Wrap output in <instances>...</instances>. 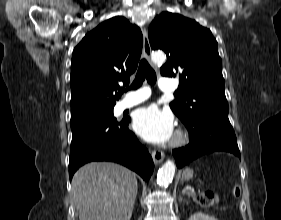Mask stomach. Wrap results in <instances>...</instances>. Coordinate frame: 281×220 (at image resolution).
I'll return each instance as SVG.
<instances>
[{"mask_svg":"<svg viewBox=\"0 0 281 220\" xmlns=\"http://www.w3.org/2000/svg\"><path fill=\"white\" fill-rule=\"evenodd\" d=\"M193 177V170L190 168H186L182 173V178L185 180H189Z\"/></svg>","mask_w":281,"mask_h":220,"instance_id":"stomach-1","label":"stomach"}]
</instances>
